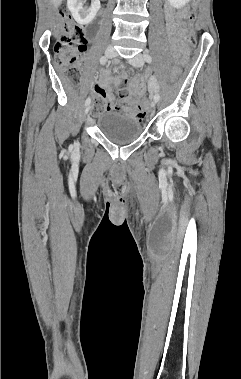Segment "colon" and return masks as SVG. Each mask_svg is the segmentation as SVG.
Masks as SVG:
<instances>
[{
	"mask_svg": "<svg viewBox=\"0 0 241 379\" xmlns=\"http://www.w3.org/2000/svg\"><path fill=\"white\" fill-rule=\"evenodd\" d=\"M60 13L64 19V27L55 45V62L68 79L75 81L79 76L81 55L86 49V38L83 28L71 21L70 15L64 8L60 9ZM197 14V8H190L189 11L185 13V18L189 21H194L196 18L195 15ZM184 39L192 47L196 43L195 35L192 32H187ZM178 77L179 72L172 71L168 75V80L174 83ZM120 94L121 96L125 95V91H120ZM140 97L143 103L149 102L147 92H142ZM109 109H111V105L104 97L99 95L95 96L93 100V110L95 114Z\"/></svg>",
	"mask_w": 241,
	"mask_h": 379,
	"instance_id": "colon-1",
	"label": "colon"
}]
</instances>
